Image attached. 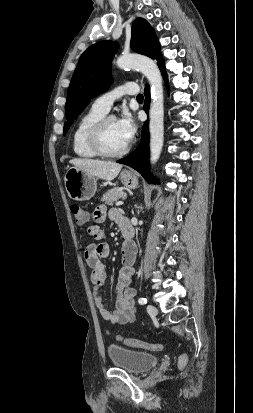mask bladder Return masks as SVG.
Masks as SVG:
<instances>
[{
	"label": "bladder",
	"instance_id": "31cf9c89",
	"mask_svg": "<svg viewBox=\"0 0 253 413\" xmlns=\"http://www.w3.org/2000/svg\"><path fill=\"white\" fill-rule=\"evenodd\" d=\"M107 354L113 366L134 374L146 372L159 362V357L155 354L118 345H109Z\"/></svg>",
	"mask_w": 253,
	"mask_h": 413
}]
</instances>
